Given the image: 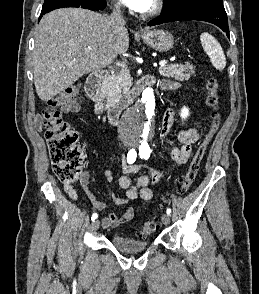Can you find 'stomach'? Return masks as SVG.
I'll list each match as a JSON object with an SVG mask.
<instances>
[{
  "instance_id": "1",
  "label": "stomach",
  "mask_w": 259,
  "mask_h": 294,
  "mask_svg": "<svg viewBox=\"0 0 259 294\" xmlns=\"http://www.w3.org/2000/svg\"><path fill=\"white\" fill-rule=\"evenodd\" d=\"M141 37L148 46L158 52H167L174 46L172 34L165 30L144 31Z\"/></svg>"
}]
</instances>
